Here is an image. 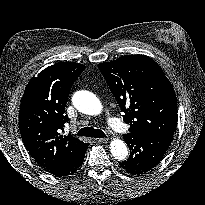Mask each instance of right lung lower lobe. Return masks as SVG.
Returning a JSON list of instances; mask_svg holds the SVG:
<instances>
[{"label": "right lung lower lobe", "mask_w": 205, "mask_h": 205, "mask_svg": "<svg viewBox=\"0 0 205 205\" xmlns=\"http://www.w3.org/2000/svg\"><path fill=\"white\" fill-rule=\"evenodd\" d=\"M87 146L88 144L72 155L62 166L49 172L58 177L71 175L76 172L83 162Z\"/></svg>", "instance_id": "obj_1"}]
</instances>
